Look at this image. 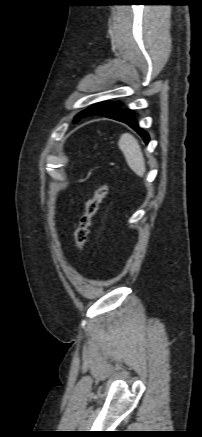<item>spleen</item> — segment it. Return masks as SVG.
Returning a JSON list of instances; mask_svg holds the SVG:
<instances>
[{
	"instance_id": "3e777b00",
	"label": "spleen",
	"mask_w": 202,
	"mask_h": 437,
	"mask_svg": "<svg viewBox=\"0 0 202 437\" xmlns=\"http://www.w3.org/2000/svg\"><path fill=\"white\" fill-rule=\"evenodd\" d=\"M118 146L131 170L143 177L146 172L145 159L137 139L129 133H124L118 141Z\"/></svg>"
}]
</instances>
